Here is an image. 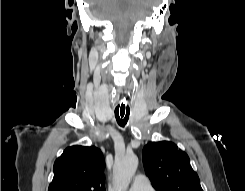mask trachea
Returning a JSON list of instances; mask_svg holds the SVG:
<instances>
[{
  "instance_id": "trachea-1",
  "label": "trachea",
  "mask_w": 245,
  "mask_h": 191,
  "mask_svg": "<svg viewBox=\"0 0 245 191\" xmlns=\"http://www.w3.org/2000/svg\"><path fill=\"white\" fill-rule=\"evenodd\" d=\"M130 110L128 99L123 95L115 108V118L121 127L127 124Z\"/></svg>"
}]
</instances>
